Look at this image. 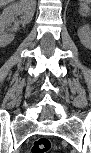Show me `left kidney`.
Here are the masks:
<instances>
[{
    "label": "left kidney",
    "mask_w": 91,
    "mask_h": 153,
    "mask_svg": "<svg viewBox=\"0 0 91 153\" xmlns=\"http://www.w3.org/2000/svg\"><path fill=\"white\" fill-rule=\"evenodd\" d=\"M78 36L81 43L86 47H91V28L89 25H83L78 29Z\"/></svg>",
    "instance_id": "obj_1"
}]
</instances>
